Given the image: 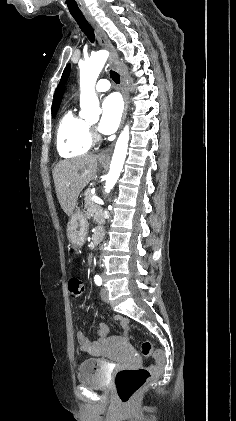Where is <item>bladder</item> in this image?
Here are the masks:
<instances>
[{
  "label": "bladder",
  "instance_id": "bladder-1",
  "mask_svg": "<svg viewBox=\"0 0 236 421\" xmlns=\"http://www.w3.org/2000/svg\"><path fill=\"white\" fill-rule=\"evenodd\" d=\"M77 383L88 386L91 390H103L107 387L106 374L101 370L100 360L87 358L80 363L76 371Z\"/></svg>",
  "mask_w": 236,
  "mask_h": 421
}]
</instances>
